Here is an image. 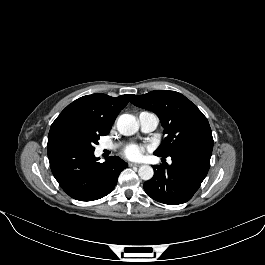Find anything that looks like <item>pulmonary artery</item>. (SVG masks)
Here are the masks:
<instances>
[{
    "mask_svg": "<svg viewBox=\"0 0 265 265\" xmlns=\"http://www.w3.org/2000/svg\"><path fill=\"white\" fill-rule=\"evenodd\" d=\"M138 122L140 129L144 133H150L157 127L158 120L157 117L148 112H142L138 115ZM105 149L111 148L110 146H104Z\"/></svg>",
    "mask_w": 265,
    "mask_h": 265,
    "instance_id": "pulmonary-artery-1",
    "label": "pulmonary artery"
}]
</instances>
